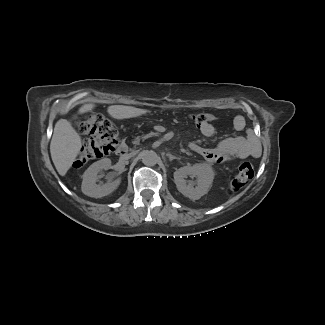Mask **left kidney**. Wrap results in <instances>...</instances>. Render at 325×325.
Instances as JSON below:
<instances>
[{
  "label": "left kidney",
  "mask_w": 325,
  "mask_h": 325,
  "mask_svg": "<svg viewBox=\"0 0 325 325\" xmlns=\"http://www.w3.org/2000/svg\"><path fill=\"white\" fill-rule=\"evenodd\" d=\"M196 177L197 185L193 187L186 178ZM215 173L207 163L184 166L174 172V182L179 192L191 200H198L207 194L212 186Z\"/></svg>",
  "instance_id": "5707ae66"
}]
</instances>
